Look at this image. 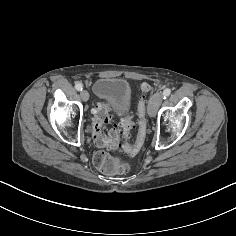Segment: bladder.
Listing matches in <instances>:
<instances>
[{"label": "bladder", "instance_id": "31cf9c89", "mask_svg": "<svg viewBox=\"0 0 236 236\" xmlns=\"http://www.w3.org/2000/svg\"><path fill=\"white\" fill-rule=\"evenodd\" d=\"M95 94L114 109H126L131 102L128 82L121 78L102 77L94 84Z\"/></svg>", "mask_w": 236, "mask_h": 236}]
</instances>
